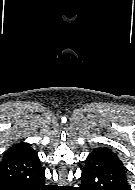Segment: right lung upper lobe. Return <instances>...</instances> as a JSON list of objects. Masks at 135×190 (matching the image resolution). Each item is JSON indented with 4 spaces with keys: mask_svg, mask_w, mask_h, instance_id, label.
I'll list each match as a JSON object with an SVG mask.
<instances>
[{
    "mask_svg": "<svg viewBox=\"0 0 135 190\" xmlns=\"http://www.w3.org/2000/svg\"><path fill=\"white\" fill-rule=\"evenodd\" d=\"M35 154L34 150L28 143H19L7 150L4 158L27 156Z\"/></svg>",
    "mask_w": 135,
    "mask_h": 190,
    "instance_id": "cb5924a9",
    "label": "right lung upper lobe"
}]
</instances>
